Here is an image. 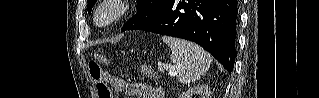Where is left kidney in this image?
<instances>
[{"mask_svg": "<svg viewBox=\"0 0 319 98\" xmlns=\"http://www.w3.org/2000/svg\"><path fill=\"white\" fill-rule=\"evenodd\" d=\"M193 96H197L198 98H211V90L205 85L194 86L182 92L179 98H193Z\"/></svg>", "mask_w": 319, "mask_h": 98, "instance_id": "obj_1", "label": "left kidney"}]
</instances>
